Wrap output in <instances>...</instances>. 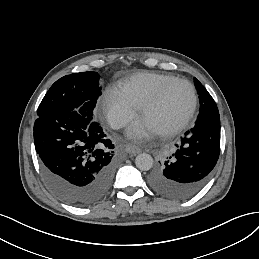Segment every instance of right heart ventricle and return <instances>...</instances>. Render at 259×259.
Instances as JSON below:
<instances>
[{
    "instance_id": "1",
    "label": "right heart ventricle",
    "mask_w": 259,
    "mask_h": 259,
    "mask_svg": "<svg viewBox=\"0 0 259 259\" xmlns=\"http://www.w3.org/2000/svg\"><path fill=\"white\" fill-rule=\"evenodd\" d=\"M171 77H174V75L170 73L141 72L125 80L121 88L142 106L156 92L158 86Z\"/></svg>"
}]
</instances>
